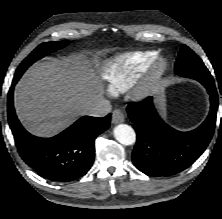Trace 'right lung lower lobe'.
<instances>
[{
    "label": "right lung lower lobe",
    "mask_w": 222,
    "mask_h": 219,
    "mask_svg": "<svg viewBox=\"0 0 222 219\" xmlns=\"http://www.w3.org/2000/svg\"><path fill=\"white\" fill-rule=\"evenodd\" d=\"M14 78L8 93V121L22 159L40 176L55 182H69L85 175L95 156V139L110 126V116H85L51 138H39L20 124L13 106Z\"/></svg>",
    "instance_id": "right-lung-lower-lobe-1"
}]
</instances>
